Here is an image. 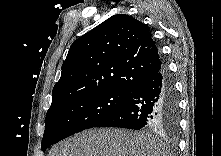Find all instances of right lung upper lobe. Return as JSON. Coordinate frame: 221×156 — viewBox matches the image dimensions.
<instances>
[{
    "mask_svg": "<svg viewBox=\"0 0 221 156\" xmlns=\"http://www.w3.org/2000/svg\"><path fill=\"white\" fill-rule=\"evenodd\" d=\"M164 67L146 25L126 14L114 15L70 46L51 106L100 91L130 93Z\"/></svg>",
    "mask_w": 221,
    "mask_h": 156,
    "instance_id": "1",
    "label": "right lung upper lobe"
}]
</instances>
